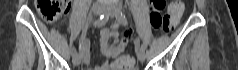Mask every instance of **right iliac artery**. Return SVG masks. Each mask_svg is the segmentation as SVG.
<instances>
[{"instance_id":"1","label":"right iliac artery","mask_w":238,"mask_h":70,"mask_svg":"<svg viewBox=\"0 0 238 70\" xmlns=\"http://www.w3.org/2000/svg\"><path fill=\"white\" fill-rule=\"evenodd\" d=\"M108 18H109L108 15L102 14L97 20H95L94 26L101 27V26L105 25L108 21ZM71 52H72V55L77 54L76 48L73 47Z\"/></svg>"}]
</instances>
